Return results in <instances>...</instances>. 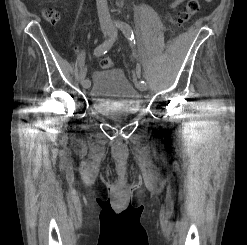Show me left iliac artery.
Segmentation results:
<instances>
[{
	"label": "left iliac artery",
	"instance_id": "left-iliac-artery-1",
	"mask_svg": "<svg viewBox=\"0 0 247 245\" xmlns=\"http://www.w3.org/2000/svg\"><path fill=\"white\" fill-rule=\"evenodd\" d=\"M121 31L123 32V34L125 35V37L127 39H129L133 44H134V38H135V35H134V32L131 28V26L127 23H121L119 25ZM136 55V53H134ZM140 85L142 86H147L146 82L144 80H140Z\"/></svg>",
	"mask_w": 247,
	"mask_h": 245
}]
</instances>
